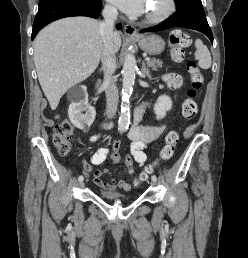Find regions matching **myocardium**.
Masks as SVG:
<instances>
[{"label": "myocardium", "mask_w": 248, "mask_h": 258, "mask_svg": "<svg viewBox=\"0 0 248 258\" xmlns=\"http://www.w3.org/2000/svg\"><path fill=\"white\" fill-rule=\"evenodd\" d=\"M176 9V0H166V6L164 9L154 15L145 16L144 20L147 23L156 24L165 21L169 18Z\"/></svg>", "instance_id": "1"}]
</instances>
